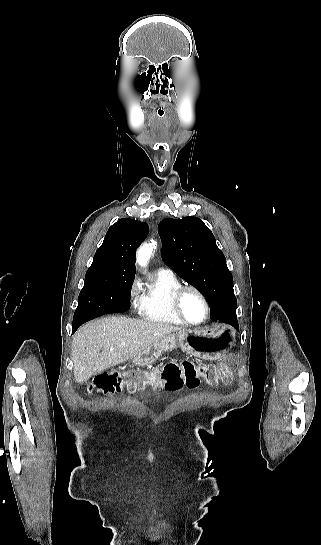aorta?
I'll list each match as a JSON object with an SVG mask.
<instances>
[{
  "label": "aorta",
  "instance_id": "1",
  "mask_svg": "<svg viewBox=\"0 0 321 545\" xmlns=\"http://www.w3.org/2000/svg\"><path fill=\"white\" fill-rule=\"evenodd\" d=\"M156 248V242L152 241L149 244H144L137 252V261L141 266H145L153 252Z\"/></svg>",
  "mask_w": 321,
  "mask_h": 545
}]
</instances>
